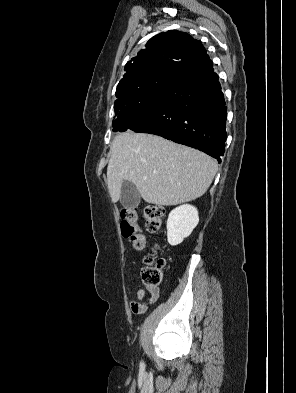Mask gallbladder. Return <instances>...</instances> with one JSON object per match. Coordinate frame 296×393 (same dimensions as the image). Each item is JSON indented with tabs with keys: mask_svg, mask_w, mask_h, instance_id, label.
<instances>
[{
	"mask_svg": "<svg viewBox=\"0 0 296 393\" xmlns=\"http://www.w3.org/2000/svg\"><path fill=\"white\" fill-rule=\"evenodd\" d=\"M120 202L124 208L131 209L139 205L140 193L130 181H124L121 188Z\"/></svg>",
	"mask_w": 296,
	"mask_h": 393,
	"instance_id": "1",
	"label": "gallbladder"
}]
</instances>
